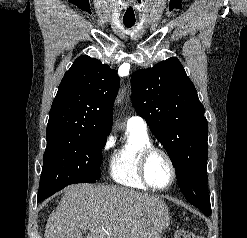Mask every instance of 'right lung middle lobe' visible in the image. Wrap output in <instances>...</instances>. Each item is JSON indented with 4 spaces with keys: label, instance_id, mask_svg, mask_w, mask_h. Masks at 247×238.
Returning a JSON list of instances; mask_svg holds the SVG:
<instances>
[{
    "label": "right lung middle lobe",
    "instance_id": "dd1d6c3e",
    "mask_svg": "<svg viewBox=\"0 0 247 238\" xmlns=\"http://www.w3.org/2000/svg\"><path fill=\"white\" fill-rule=\"evenodd\" d=\"M108 133L77 129L46 135L38 202L72 183H95L101 176L102 148Z\"/></svg>",
    "mask_w": 247,
    "mask_h": 238
}]
</instances>
